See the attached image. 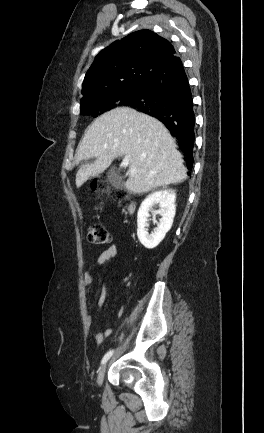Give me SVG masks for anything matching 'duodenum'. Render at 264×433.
Segmentation results:
<instances>
[{
	"mask_svg": "<svg viewBox=\"0 0 264 433\" xmlns=\"http://www.w3.org/2000/svg\"><path fill=\"white\" fill-rule=\"evenodd\" d=\"M134 203L130 202L127 206V212L131 214L134 211Z\"/></svg>",
	"mask_w": 264,
	"mask_h": 433,
	"instance_id": "410a0bca",
	"label": "duodenum"
}]
</instances>
